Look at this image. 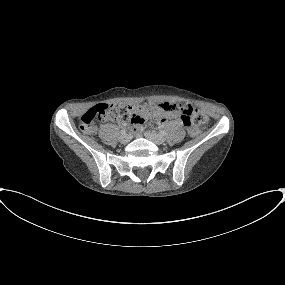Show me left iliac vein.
Returning <instances> with one entry per match:
<instances>
[{"mask_svg": "<svg viewBox=\"0 0 285 285\" xmlns=\"http://www.w3.org/2000/svg\"><path fill=\"white\" fill-rule=\"evenodd\" d=\"M144 135L147 139H149L150 141L154 142L157 145H161L165 142V138L155 132L146 131Z\"/></svg>", "mask_w": 285, "mask_h": 285, "instance_id": "obj_1", "label": "left iliac vein"}]
</instances>
